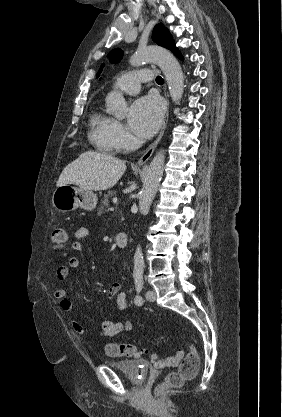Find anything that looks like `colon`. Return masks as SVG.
Returning <instances> with one entry per match:
<instances>
[{"instance_id":"colon-1","label":"colon","mask_w":282,"mask_h":417,"mask_svg":"<svg viewBox=\"0 0 282 417\" xmlns=\"http://www.w3.org/2000/svg\"><path fill=\"white\" fill-rule=\"evenodd\" d=\"M67 233L64 227L55 226L50 234V243L57 250H62L67 243ZM188 352L187 358L184 359V365L180 366V369L177 368L178 360L182 357V350L176 349L175 352L161 356L155 351L150 352L151 360L154 362L155 366L159 368H177V372L170 373L165 377V380L161 384H155L154 389L150 390V397L152 403H163L164 395L163 393H169L170 388H179L182 386V383L185 380L192 379L200 369V356L196 351L192 343H187ZM147 352V349L137 345L126 344L124 347H118L113 345V347L105 348L106 356H128V357H140Z\"/></svg>"}]
</instances>
